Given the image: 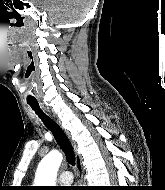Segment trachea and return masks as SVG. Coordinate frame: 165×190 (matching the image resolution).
Returning a JSON list of instances; mask_svg holds the SVG:
<instances>
[{
	"label": "trachea",
	"instance_id": "trachea-1",
	"mask_svg": "<svg viewBox=\"0 0 165 190\" xmlns=\"http://www.w3.org/2000/svg\"><path fill=\"white\" fill-rule=\"evenodd\" d=\"M29 105L36 112V114L42 119L45 126L52 132L57 144L64 152L68 163L74 166L76 160L75 153L66 134L52 119H50L42 112L38 103H29Z\"/></svg>",
	"mask_w": 165,
	"mask_h": 190
}]
</instances>
